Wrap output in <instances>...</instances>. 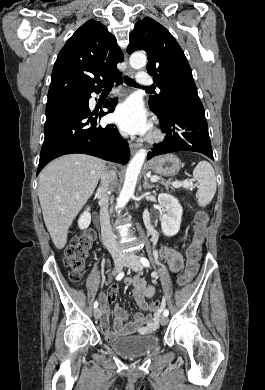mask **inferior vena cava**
I'll use <instances>...</instances> for the list:
<instances>
[{"label":"inferior vena cava","instance_id":"602c4592","mask_svg":"<svg viewBox=\"0 0 265 390\" xmlns=\"http://www.w3.org/2000/svg\"><path fill=\"white\" fill-rule=\"evenodd\" d=\"M116 174L114 171H104L101 176V186L97 190L100 205V224L101 236L104 246L112 256H121L123 253L117 244L116 238L110 225V217L108 213V186L114 180Z\"/></svg>","mask_w":265,"mask_h":390}]
</instances>
